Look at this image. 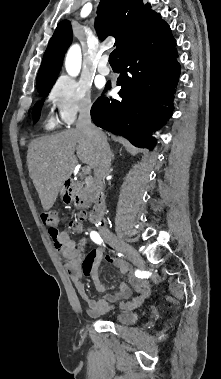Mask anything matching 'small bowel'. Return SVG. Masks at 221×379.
<instances>
[{
  "label": "small bowel",
  "instance_id": "obj_1",
  "mask_svg": "<svg viewBox=\"0 0 221 379\" xmlns=\"http://www.w3.org/2000/svg\"><path fill=\"white\" fill-rule=\"evenodd\" d=\"M56 248L62 257L66 260V268L72 283L75 285L79 296L87 302V313L96 317L102 315L113 308V303L119 300H127L121 302L119 307L122 309H133L140 306L143 301L150 295V287L148 284L136 277L130 270V267L124 262H116L123 277H127L129 283L137 292V296L132 298L130 287L122 280L120 289L115 290V285L105 286L101 283L98 276V268L100 263L105 259L107 262L113 263V259L105 255L103 248L93 250L86 253L84 261L81 259V253L76 248V243L70 238L66 231H58L56 234H50ZM85 262V264H84ZM86 276L87 282H93L98 292L103 297L97 300L91 299L85 289L83 277Z\"/></svg>",
  "mask_w": 221,
  "mask_h": 379
}]
</instances>
